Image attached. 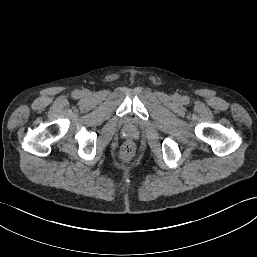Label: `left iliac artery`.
Instances as JSON below:
<instances>
[{
    "instance_id": "left-iliac-artery-1",
    "label": "left iliac artery",
    "mask_w": 257,
    "mask_h": 257,
    "mask_svg": "<svg viewBox=\"0 0 257 257\" xmlns=\"http://www.w3.org/2000/svg\"><path fill=\"white\" fill-rule=\"evenodd\" d=\"M183 100H184V102L188 103L189 98L187 96H185Z\"/></svg>"
}]
</instances>
